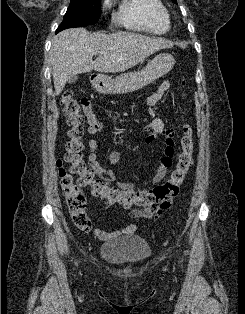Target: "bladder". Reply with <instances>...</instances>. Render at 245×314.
Instances as JSON below:
<instances>
[{
  "mask_svg": "<svg viewBox=\"0 0 245 314\" xmlns=\"http://www.w3.org/2000/svg\"><path fill=\"white\" fill-rule=\"evenodd\" d=\"M151 255L147 240L140 235H131L122 240H114L104 244L100 257L105 262L125 267L145 262Z\"/></svg>",
  "mask_w": 245,
  "mask_h": 314,
  "instance_id": "31cf9c89",
  "label": "bladder"
}]
</instances>
